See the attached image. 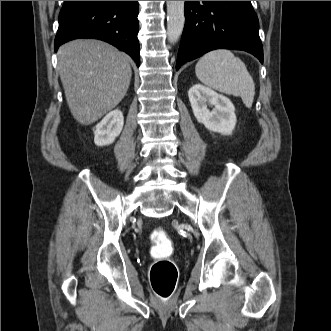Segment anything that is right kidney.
I'll list each match as a JSON object with an SVG mask.
<instances>
[{"instance_id": "right-kidney-1", "label": "right kidney", "mask_w": 331, "mask_h": 331, "mask_svg": "<svg viewBox=\"0 0 331 331\" xmlns=\"http://www.w3.org/2000/svg\"><path fill=\"white\" fill-rule=\"evenodd\" d=\"M124 117L120 110L108 113L95 127L94 142L97 146L112 144L122 131Z\"/></svg>"}]
</instances>
